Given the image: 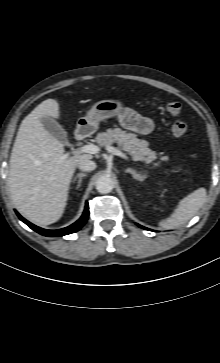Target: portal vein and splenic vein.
<instances>
[{
  "mask_svg": "<svg viewBox=\"0 0 220 363\" xmlns=\"http://www.w3.org/2000/svg\"><path fill=\"white\" fill-rule=\"evenodd\" d=\"M107 150L111 153H113L114 155H117L125 160H129V158L126 156L125 153H123L122 151L114 148V147H107ZM76 152H85V153H90V154H97L100 152V148L94 144H87V145H83L82 147H79L77 149H75L73 152H67L62 156V159H66L67 157H69V155L71 153H76Z\"/></svg>",
  "mask_w": 220,
  "mask_h": 363,
  "instance_id": "portal-vein-and-splenic-vein-1",
  "label": "portal vein and splenic vein"
}]
</instances>
